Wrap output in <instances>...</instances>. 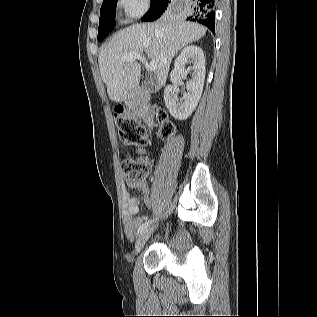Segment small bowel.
Here are the masks:
<instances>
[{
	"label": "small bowel",
	"mask_w": 317,
	"mask_h": 317,
	"mask_svg": "<svg viewBox=\"0 0 317 317\" xmlns=\"http://www.w3.org/2000/svg\"><path fill=\"white\" fill-rule=\"evenodd\" d=\"M129 185L138 188L146 198L147 205L149 207H152V201L149 198V187L145 179H142L136 183H129ZM125 196L126 205L124 210V232L127 237L132 238L135 235L136 230L139 229L144 218H133V216L137 213L140 206L139 198H129L127 194Z\"/></svg>",
	"instance_id": "small-bowel-1"
}]
</instances>
